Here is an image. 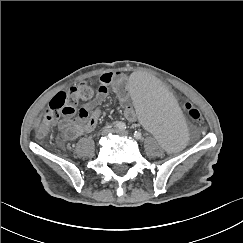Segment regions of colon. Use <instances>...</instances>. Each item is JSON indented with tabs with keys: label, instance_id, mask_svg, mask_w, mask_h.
Instances as JSON below:
<instances>
[{
	"label": "colon",
	"instance_id": "colon-1",
	"mask_svg": "<svg viewBox=\"0 0 243 243\" xmlns=\"http://www.w3.org/2000/svg\"><path fill=\"white\" fill-rule=\"evenodd\" d=\"M94 95L92 87L86 83H81L68 91L57 93L49 103L43 122L37 128V134L45 136L61 114H72L78 104L82 101L90 100ZM182 111L186 112L189 119L195 123H202L203 116L198 108L190 103L182 104Z\"/></svg>",
	"mask_w": 243,
	"mask_h": 243
}]
</instances>
